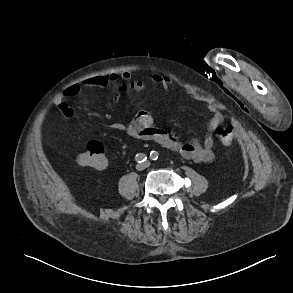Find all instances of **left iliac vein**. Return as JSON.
<instances>
[{
    "mask_svg": "<svg viewBox=\"0 0 293 293\" xmlns=\"http://www.w3.org/2000/svg\"><path fill=\"white\" fill-rule=\"evenodd\" d=\"M146 166H149V163H146Z\"/></svg>",
    "mask_w": 293,
    "mask_h": 293,
    "instance_id": "obj_1",
    "label": "left iliac vein"
}]
</instances>
